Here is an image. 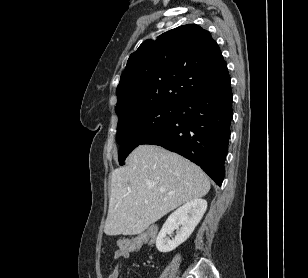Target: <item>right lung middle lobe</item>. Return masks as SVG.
<instances>
[{
	"mask_svg": "<svg viewBox=\"0 0 308 278\" xmlns=\"http://www.w3.org/2000/svg\"><path fill=\"white\" fill-rule=\"evenodd\" d=\"M177 113L178 105H157L118 121L116 140L121 146L118 151L120 165L134 148L172 122Z\"/></svg>",
	"mask_w": 308,
	"mask_h": 278,
	"instance_id": "dd1d6c3e",
	"label": "right lung middle lobe"
}]
</instances>
